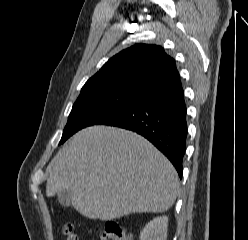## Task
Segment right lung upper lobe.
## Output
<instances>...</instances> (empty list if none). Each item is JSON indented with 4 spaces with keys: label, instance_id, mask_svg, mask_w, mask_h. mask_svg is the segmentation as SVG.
I'll return each mask as SVG.
<instances>
[{
    "label": "right lung upper lobe",
    "instance_id": "right-lung-upper-lobe-1",
    "mask_svg": "<svg viewBox=\"0 0 248 240\" xmlns=\"http://www.w3.org/2000/svg\"><path fill=\"white\" fill-rule=\"evenodd\" d=\"M181 85L175 60L157 45L136 44L109 59L83 86L139 99Z\"/></svg>",
    "mask_w": 248,
    "mask_h": 240
}]
</instances>
